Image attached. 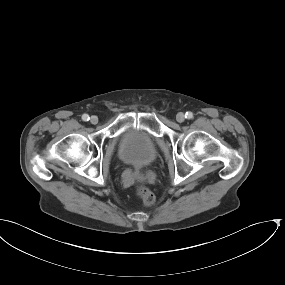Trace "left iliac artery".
Here are the masks:
<instances>
[{
    "label": "left iliac artery",
    "instance_id": "1",
    "mask_svg": "<svg viewBox=\"0 0 285 285\" xmlns=\"http://www.w3.org/2000/svg\"><path fill=\"white\" fill-rule=\"evenodd\" d=\"M185 118H187V119H192V118H193L192 112H186Z\"/></svg>",
    "mask_w": 285,
    "mask_h": 285
}]
</instances>
